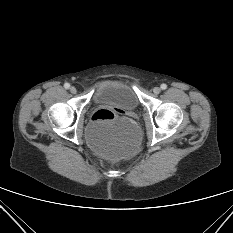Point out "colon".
Segmentation results:
<instances>
[{"instance_id": "obj_1", "label": "colon", "mask_w": 233, "mask_h": 233, "mask_svg": "<svg viewBox=\"0 0 233 233\" xmlns=\"http://www.w3.org/2000/svg\"><path fill=\"white\" fill-rule=\"evenodd\" d=\"M94 122L106 123L114 119V113L108 109H100L92 117Z\"/></svg>"}]
</instances>
